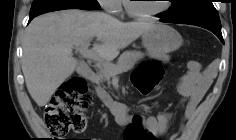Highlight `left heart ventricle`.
Segmentation results:
<instances>
[{
    "label": "left heart ventricle",
    "mask_w": 236,
    "mask_h": 140,
    "mask_svg": "<svg viewBox=\"0 0 236 140\" xmlns=\"http://www.w3.org/2000/svg\"><path fill=\"white\" fill-rule=\"evenodd\" d=\"M163 1L159 0H137V1H132V6L135 10L139 12H152L156 11L164 6Z\"/></svg>",
    "instance_id": "obj_1"
}]
</instances>
